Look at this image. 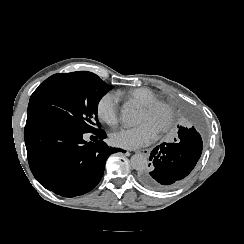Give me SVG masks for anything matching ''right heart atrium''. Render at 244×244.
Returning <instances> with one entry per match:
<instances>
[{
    "mask_svg": "<svg viewBox=\"0 0 244 244\" xmlns=\"http://www.w3.org/2000/svg\"><path fill=\"white\" fill-rule=\"evenodd\" d=\"M96 112L100 120L108 125H115L119 120V107L116 94L104 93L98 100Z\"/></svg>",
    "mask_w": 244,
    "mask_h": 244,
    "instance_id": "obj_1",
    "label": "right heart atrium"
}]
</instances>
